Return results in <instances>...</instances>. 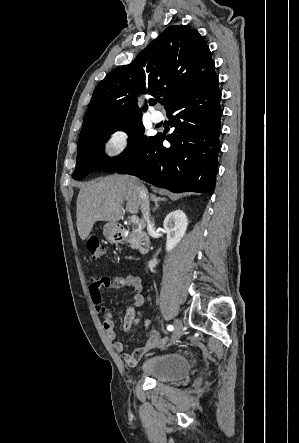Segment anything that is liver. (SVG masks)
I'll use <instances>...</instances> for the list:
<instances>
[{
    "instance_id": "6515ba94",
    "label": "liver",
    "mask_w": 299,
    "mask_h": 443,
    "mask_svg": "<svg viewBox=\"0 0 299 443\" xmlns=\"http://www.w3.org/2000/svg\"><path fill=\"white\" fill-rule=\"evenodd\" d=\"M142 184L137 178L125 175H110L87 182L81 186L77 197V229L86 240L97 221L116 224L123 206L132 214L139 211L141 200L136 186Z\"/></svg>"
}]
</instances>
